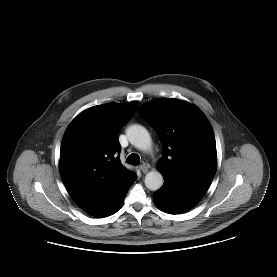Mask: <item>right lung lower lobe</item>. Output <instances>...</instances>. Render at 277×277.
<instances>
[{"label": "right lung lower lobe", "mask_w": 277, "mask_h": 277, "mask_svg": "<svg viewBox=\"0 0 277 277\" xmlns=\"http://www.w3.org/2000/svg\"><path fill=\"white\" fill-rule=\"evenodd\" d=\"M136 178L137 175L133 173L100 204L85 211L95 217H105L114 214L123 204L127 191L135 182Z\"/></svg>", "instance_id": "98d812e1"}]
</instances>
